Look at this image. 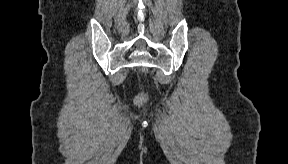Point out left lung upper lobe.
I'll use <instances>...</instances> for the list:
<instances>
[{"mask_svg":"<svg viewBox=\"0 0 288 164\" xmlns=\"http://www.w3.org/2000/svg\"><path fill=\"white\" fill-rule=\"evenodd\" d=\"M250 85L254 88V89H257L258 87V81L257 80H253Z\"/></svg>","mask_w":288,"mask_h":164,"instance_id":"5c2ea615","label":"left lung upper lobe"}]
</instances>
